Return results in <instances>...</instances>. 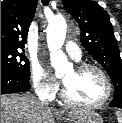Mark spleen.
Masks as SVG:
<instances>
[{
    "label": "spleen",
    "instance_id": "3e777b00",
    "mask_svg": "<svg viewBox=\"0 0 122 123\" xmlns=\"http://www.w3.org/2000/svg\"><path fill=\"white\" fill-rule=\"evenodd\" d=\"M116 116H117L118 123H122V112L117 111Z\"/></svg>",
    "mask_w": 122,
    "mask_h": 123
}]
</instances>
